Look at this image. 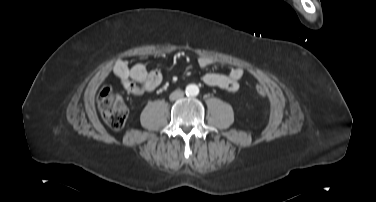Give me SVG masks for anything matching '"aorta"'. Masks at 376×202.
<instances>
[{
  "instance_id": "aorta-1",
  "label": "aorta",
  "mask_w": 376,
  "mask_h": 202,
  "mask_svg": "<svg viewBox=\"0 0 376 202\" xmlns=\"http://www.w3.org/2000/svg\"><path fill=\"white\" fill-rule=\"evenodd\" d=\"M199 93V87L196 84H189L186 87V94L189 96H196Z\"/></svg>"
}]
</instances>
